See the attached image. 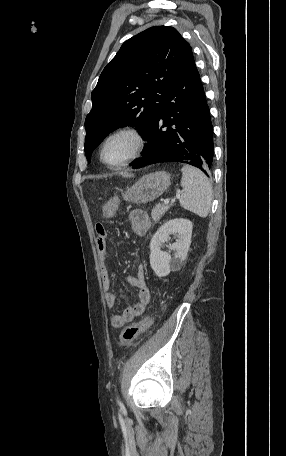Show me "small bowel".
Here are the masks:
<instances>
[{
	"mask_svg": "<svg viewBox=\"0 0 286 456\" xmlns=\"http://www.w3.org/2000/svg\"><path fill=\"white\" fill-rule=\"evenodd\" d=\"M117 210V206L114 203H107L103 207V216L105 218H111L114 216ZM129 220L132 223L135 234L144 235L148 232L151 222L149 216L140 209H134L130 211ZM96 247L99 257L102 262L101 267V278L103 287L107 290L105 294L106 304L109 308H112L116 304V295L110 291L112 280L105 266L104 260L107 252V230L101 223L96 225ZM128 282L139 290V301L133 306L126 308L121 313L115 314L111 318V325L114 328H121L126 323L132 321L134 318L141 316L150 299V290L147 285L146 271L143 264H139L136 267L135 273L128 276Z\"/></svg>",
	"mask_w": 286,
	"mask_h": 456,
	"instance_id": "c3829d8e",
	"label": "small bowel"
}]
</instances>
